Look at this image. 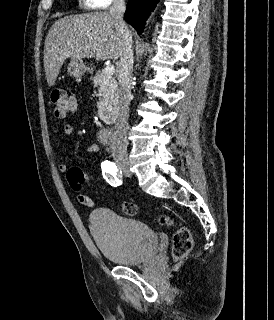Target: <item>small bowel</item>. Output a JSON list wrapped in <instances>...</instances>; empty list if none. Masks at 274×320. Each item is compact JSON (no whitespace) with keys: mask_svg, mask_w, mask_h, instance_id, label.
Returning <instances> with one entry per match:
<instances>
[{"mask_svg":"<svg viewBox=\"0 0 274 320\" xmlns=\"http://www.w3.org/2000/svg\"><path fill=\"white\" fill-rule=\"evenodd\" d=\"M74 107L76 108V105H75V104H74ZM73 131H74V123H66V124H64V126H63V134H64L65 136H70V135H72ZM99 150H100V146H99V145H96V144L90 145V146H88V147L86 148V151H87L88 153H95V152H98ZM58 170H59L61 173H66L69 169H68L67 164L61 163V164H59V166H58ZM77 199H78V201H79L81 204H83V205H85V206H87V207H89V208H92V207L94 206V203H93L92 199L89 198V197L86 196V195H79V196L77 197Z\"/></svg>","mask_w":274,"mask_h":320,"instance_id":"c3829d8e","label":"small bowel"}]
</instances>
